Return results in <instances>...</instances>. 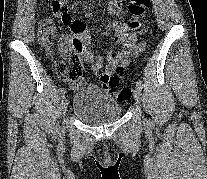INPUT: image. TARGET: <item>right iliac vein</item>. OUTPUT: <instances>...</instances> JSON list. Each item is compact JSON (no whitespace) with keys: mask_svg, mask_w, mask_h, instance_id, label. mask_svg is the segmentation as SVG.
Masks as SVG:
<instances>
[{"mask_svg":"<svg viewBox=\"0 0 207 179\" xmlns=\"http://www.w3.org/2000/svg\"><path fill=\"white\" fill-rule=\"evenodd\" d=\"M68 100L65 96L62 97V101H61V108L63 113L65 114L68 111Z\"/></svg>","mask_w":207,"mask_h":179,"instance_id":"63e3f726","label":"right iliac vein"}]
</instances>
